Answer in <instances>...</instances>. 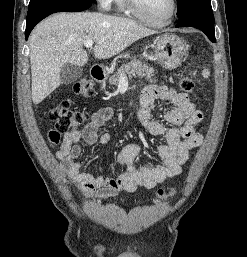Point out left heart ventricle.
Instances as JSON below:
<instances>
[{
	"label": "left heart ventricle",
	"mask_w": 247,
	"mask_h": 257,
	"mask_svg": "<svg viewBox=\"0 0 247 257\" xmlns=\"http://www.w3.org/2000/svg\"><path fill=\"white\" fill-rule=\"evenodd\" d=\"M145 16L153 21H163L170 14L172 0H137Z\"/></svg>",
	"instance_id": "left-heart-ventricle-1"
}]
</instances>
